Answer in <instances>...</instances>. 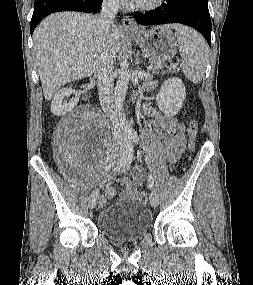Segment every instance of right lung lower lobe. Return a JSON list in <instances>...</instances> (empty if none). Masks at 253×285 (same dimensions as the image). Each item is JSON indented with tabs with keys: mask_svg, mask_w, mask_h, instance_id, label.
<instances>
[{
	"mask_svg": "<svg viewBox=\"0 0 253 285\" xmlns=\"http://www.w3.org/2000/svg\"><path fill=\"white\" fill-rule=\"evenodd\" d=\"M101 3L102 0H35L30 32L33 34L39 22L50 13L57 11L98 13Z\"/></svg>",
	"mask_w": 253,
	"mask_h": 285,
	"instance_id": "1",
	"label": "right lung lower lobe"
}]
</instances>
